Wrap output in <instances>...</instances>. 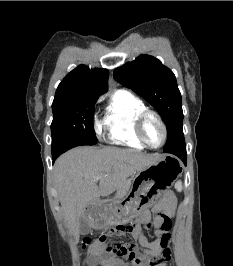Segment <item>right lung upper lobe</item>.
<instances>
[{
	"label": "right lung upper lobe",
	"mask_w": 233,
	"mask_h": 266,
	"mask_svg": "<svg viewBox=\"0 0 233 266\" xmlns=\"http://www.w3.org/2000/svg\"><path fill=\"white\" fill-rule=\"evenodd\" d=\"M108 70L80 65L59 84L54 100L98 96L108 90Z\"/></svg>",
	"instance_id": "right-lung-upper-lobe-1"
}]
</instances>
